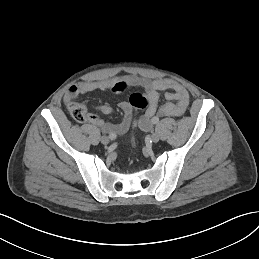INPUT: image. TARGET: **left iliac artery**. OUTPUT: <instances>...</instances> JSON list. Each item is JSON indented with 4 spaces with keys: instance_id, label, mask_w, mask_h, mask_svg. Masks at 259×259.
Wrapping results in <instances>:
<instances>
[{
    "instance_id": "1",
    "label": "left iliac artery",
    "mask_w": 259,
    "mask_h": 259,
    "mask_svg": "<svg viewBox=\"0 0 259 259\" xmlns=\"http://www.w3.org/2000/svg\"><path fill=\"white\" fill-rule=\"evenodd\" d=\"M151 122H152L153 124H157V123L159 122V117H158V116L153 117L152 120H151Z\"/></svg>"
}]
</instances>
